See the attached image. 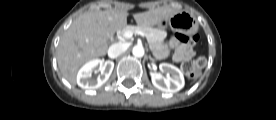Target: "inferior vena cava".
Here are the masks:
<instances>
[{
	"instance_id": "602c4592",
	"label": "inferior vena cava",
	"mask_w": 276,
	"mask_h": 120,
	"mask_svg": "<svg viewBox=\"0 0 276 120\" xmlns=\"http://www.w3.org/2000/svg\"><path fill=\"white\" fill-rule=\"evenodd\" d=\"M128 49V44L126 43H114L108 49V56L112 59L117 58L119 55L124 53Z\"/></svg>"
}]
</instances>
